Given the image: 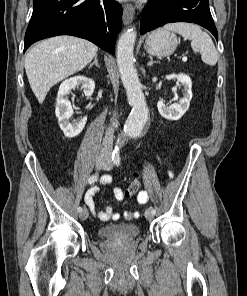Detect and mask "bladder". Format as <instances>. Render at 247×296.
<instances>
[{"instance_id": "obj_1", "label": "bladder", "mask_w": 247, "mask_h": 296, "mask_svg": "<svg viewBox=\"0 0 247 296\" xmlns=\"http://www.w3.org/2000/svg\"><path fill=\"white\" fill-rule=\"evenodd\" d=\"M140 228L135 223H118L101 226L97 234L110 241L132 239L139 235Z\"/></svg>"}]
</instances>
